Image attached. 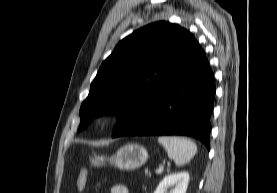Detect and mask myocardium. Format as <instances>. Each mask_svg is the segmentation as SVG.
Here are the masks:
<instances>
[{
	"mask_svg": "<svg viewBox=\"0 0 277 193\" xmlns=\"http://www.w3.org/2000/svg\"><path fill=\"white\" fill-rule=\"evenodd\" d=\"M115 119H116V116L114 114L107 113V114H103L99 118V122L103 125H109V124L113 123Z\"/></svg>",
	"mask_w": 277,
	"mask_h": 193,
	"instance_id": "obj_1",
	"label": "myocardium"
}]
</instances>
